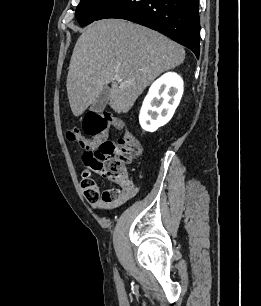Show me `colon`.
Instances as JSON below:
<instances>
[{
    "label": "colon",
    "mask_w": 261,
    "mask_h": 306,
    "mask_svg": "<svg viewBox=\"0 0 261 306\" xmlns=\"http://www.w3.org/2000/svg\"><path fill=\"white\" fill-rule=\"evenodd\" d=\"M110 127L123 128V123L110 113L90 112L83 120V131L90 138L82 136L77 129L67 132L68 139L77 142L85 150L83 162L87 170L82 173L81 186L86 200L92 204L112 202L118 190H107L101 195L91 172L129 189L131 177L128 166L141 153L139 141L130 132H125L116 142L107 140Z\"/></svg>",
    "instance_id": "colon-1"
}]
</instances>
